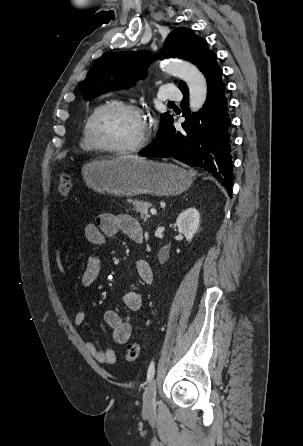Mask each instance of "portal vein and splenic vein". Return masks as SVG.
<instances>
[{
    "label": "portal vein and splenic vein",
    "instance_id": "portal-vein-and-splenic-vein-1",
    "mask_svg": "<svg viewBox=\"0 0 303 446\" xmlns=\"http://www.w3.org/2000/svg\"><path fill=\"white\" fill-rule=\"evenodd\" d=\"M150 213H151L152 215H156V214H157V211H156L155 208H151V209H150Z\"/></svg>",
    "mask_w": 303,
    "mask_h": 446
}]
</instances>
